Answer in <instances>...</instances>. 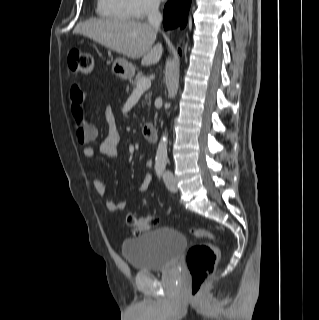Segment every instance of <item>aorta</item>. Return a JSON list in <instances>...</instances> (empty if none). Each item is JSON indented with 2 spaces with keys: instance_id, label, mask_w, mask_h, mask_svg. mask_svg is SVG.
Here are the masks:
<instances>
[{
  "instance_id": "obj_1",
  "label": "aorta",
  "mask_w": 319,
  "mask_h": 320,
  "mask_svg": "<svg viewBox=\"0 0 319 320\" xmlns=\"http://www.w3.org/2000/svg\"><path fill=\"white\" fill-rule=\"evenodd\" d=\"M167 145H168L167 136H166V133H164L160 139V142L158 144V148L156 151V157H155L156 166L164 167L166 165L168 160Z\"/></svg>"
}]
</instances>
